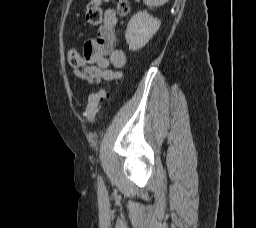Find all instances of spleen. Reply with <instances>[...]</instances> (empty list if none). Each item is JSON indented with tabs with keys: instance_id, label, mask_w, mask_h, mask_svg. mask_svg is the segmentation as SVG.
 I'll return each mask as SVG.
<instances>
[{
	"instance_id": "spleen-1",
	"label": "spleen",
	"mask_w": 256,
	"mask_h": 228,
	"mask_svg": "<svg viewBox=\"0 0 256 228\" xmlns=\"http://www.w3.org/2000/svg\"><path fill=\"white\" fill-rule=\"evenodd\" d=\"M169 0H143V2L148 6L158 7L164 5Z\"/></svg>"
}]
</instances>
